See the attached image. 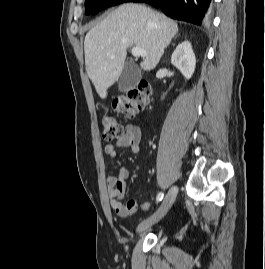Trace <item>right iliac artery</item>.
Here are the masks:
<instances>
[{"instance_id": "obj_1", "label": "right iliac artery", "mask_w": 265, "mask_h": 269, "mask_svg": "<svg viewBox=\"0 0 265 269\" xmlns=\"http://www.w3.org/2000/svg\"><path fill=\"white\" fill-rule=\"evenodd\" d=\"M163 196H164V194H163L162 192H160V193L157 195V198H156V203H157V204H158L160 201H162Z\"/></svg>"}]
</instances>
